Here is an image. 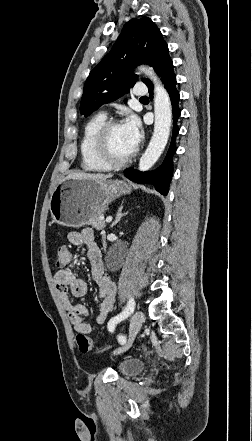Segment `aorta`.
<instances>
[{"label": "aorta", "mask_w": 252, "mask_h": 441, "mask_svg": "<svg viewBox=\"0 0 252 441\" xmlns=\"http://www.w3.org/2000/svg\"><path fill=\"white\" fill-rule=\"evenodd\" d=\"M139 70L143 71L153 81L155 94L154 132L146 151L139 161V170L147 171L156 163L166 147L172 122V109L170 97L154 71L144 66H140Z\"/></svg>", "instance_id": "obj_1"}]
</instances>
